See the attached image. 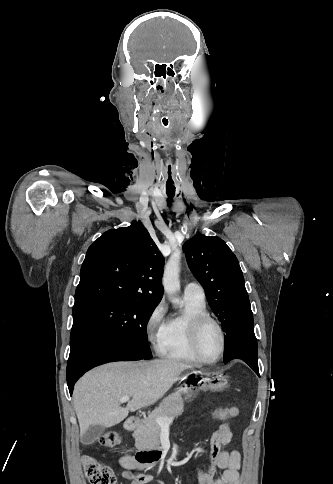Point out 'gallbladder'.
Listing matches in <instances>:
<instances>
[{
	"label": "gallbladder",
	"instance_id": "obj_1",
	"mask_svg": "<svg viewBox=\"0 0 333 484\" xmlns=\"http://www.w3.org/2000/svg\"><path fill=\"white\" fill-rule=\"evenodd\" d=\"M105 427L103 425H92L89 429L84 433L81 438V442L85 444L92 443L96 441L100 435L104 432Z\"/></svg>",
	"mask_w": 333,
	"mask_h": 484
}]
</instances>
